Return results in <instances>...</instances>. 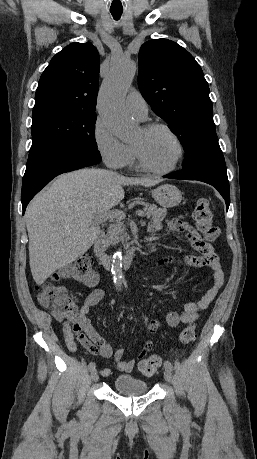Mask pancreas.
Here are the masks:
<instances>
[{
  "label": "pancreas",
  "mask_w": 257,
  "mask_h": 459,
  "mask_svg": "<svg viewBox=\"0 0 257 459\" xmlns=\"http://www.w3.org/2000/svg\"><path fill=\"white\" fill-rule=\"evenodd\" d=\"M140 204L143 206L144 212L151 217L153 221H162L166 217L167 210L165 208H158L155 204L146 202H140ZM126 239V226L119 220L109 226L105 236L104 246L115 245L119 242H124Z\"/></svg>",
  "instance_id": "obj_1"
}]
</instances>
